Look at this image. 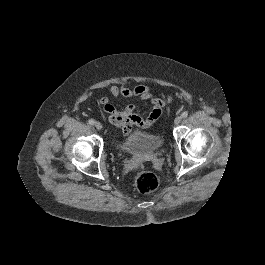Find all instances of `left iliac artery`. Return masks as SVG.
I'll use <instances>...</instances> for the list:
<instances>
[{
	"label": "left iliac artery",
	"mask_w": 265,
	"mask_h": 265,
	"mask_svg": "<svg viewBox=\"0 0 265 265\" xmlns=\"http://www.w3.org/2000/svg\"><path fill=\"white\" fill-rule=\"evenodd\" d=\"M181 116H182L183 118H186V117L188 116V113H187V112H183V113L181 114Z\"/></svg>",
	"instance_id": "left-iliac-artery-1"
}]
</instances>
